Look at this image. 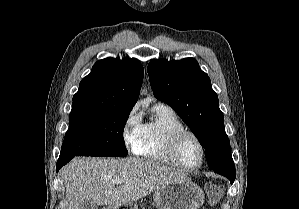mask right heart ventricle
I'll list each match as a JSON object with an SVG mask.
<instances>
[{
  "label": "right heart ventricle",
  "mask_w": 299,
  "mask_h": 209,
  "mask_svg": "<svg viewBox=\"0 0 299 209\" xmlns=\"http://www.w3.org/2000/svg\"><path fill=\"white\" fill-rule=\"evenodd\" d=\"M151 120L141 123L139 139L134 149L136 155L173 165L168 154V137L171 133L183 130L178 116L169 107L156 104L152 109Z\"/></svg>",
  "instance_id": "right-heart-ventricle-1"
}]
</instances>
